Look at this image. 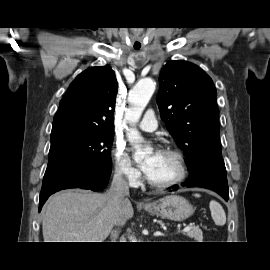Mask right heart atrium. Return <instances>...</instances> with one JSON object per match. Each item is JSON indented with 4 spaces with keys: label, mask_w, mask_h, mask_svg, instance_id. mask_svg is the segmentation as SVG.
<instances>
[{
    "label": "right heart atrium",
    "mask_w": 270,
    "mask_h": 270,
    "mask_svg": "<svg viewBox=\"0 0 270 270\" xmlns=\"http://www.w3.org/2000/svg\"><path fill=\"white\" fill-rule=\"evenodd\" d=\"M115 174L128 181L130 184L138 183L140 172L134 167L125 147L122 144H116L112 151Z\"/></svg>",
    "instance_id": "obj_1"
}]
</instances>
